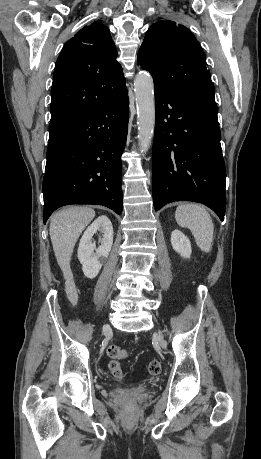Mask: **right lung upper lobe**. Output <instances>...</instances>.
Segmentation results:
<instances>
[{
	"label": "right lung upper lobe",
	"instance_id": "1",
	"mask_svg": "<svg viewBox=\"0 0 261 459\" xmlns=\"http://www.w3.org/2000/svg\"><path fill=\"white\" fill-rule=\"evenodd\" d=\"M116 57L109 29L101 22L66 42L54 70L50 126L70 125L126 88Z\"/></svg>",
	"mask_w": 261,
	"mask_h": 459
}]
</instances>
